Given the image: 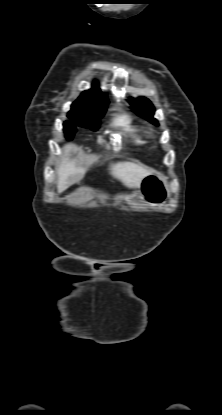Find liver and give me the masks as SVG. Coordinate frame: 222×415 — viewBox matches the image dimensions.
Listing matches in <instances>:
<instances>
[{"label":"liver","mask_w":222,"mask_h":415,"mask_svg":"<svg viewBox=\"0 0 222 415\" xmlns=\"http://www.w3.org/2000/svg\"><path fill=\"white\" fill-rule=\"evenodd\" d=\"M73 144H67L64 147V157L61 165L57 168L58 174V192L61 193L69 188L71 185L78 183L82 180L86 170L82 167H76L75 162H70L66 158L68 153L73 149ZM153 170H148L140 165L130 162H117L111 164V175L120 180L126 187H139L141 181Z\"/></svg>","instance_id":"liver-1"}]
</instances>
